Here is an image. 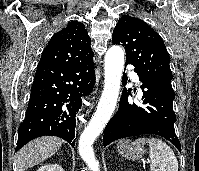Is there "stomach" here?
I'll return each instance as SVG.
<instances>
[{
  "label": "stomach",
  "instance_id": "stomach-1",
  "mask_svg": "<svg viewBox=\"0 0 199 171\" xmlns=\"http://www.w3.org/2000/svg\"><path fill=\"white\" fill-rule=\"evenodd\" d=\"M117 148L121 155L130 160H137L145 153V149L142 144H137L130 140L119 141Z\"/></svg>",
  "mask_w": 199,
  "mask_h": 171
}]
</instances>
